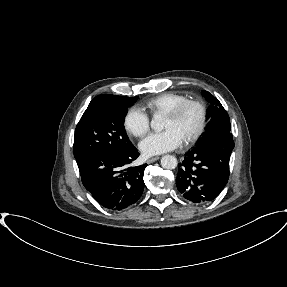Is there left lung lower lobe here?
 <instances>
[{"label":"left lung lower lobe","mask_w":287,"mask_h":287,"mask_svg":"<svg viewBox=\"0 0 287 287\" xmlns=\"http://www.w3.org/2000/svg\"><path fill=\"white\" fill-rule=\"evenodd\" d=\"M233 148V137L228 133L186 153L185 160L178 164L176 177L177 188L183 197L194 203L214 200L228 182Z\"/></svg>","instance_id":"1"}]
</instances>
